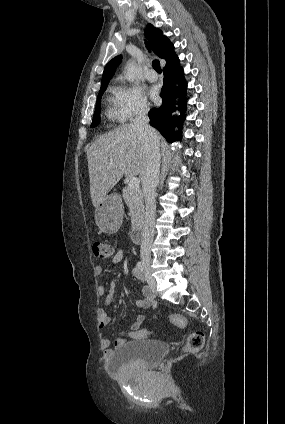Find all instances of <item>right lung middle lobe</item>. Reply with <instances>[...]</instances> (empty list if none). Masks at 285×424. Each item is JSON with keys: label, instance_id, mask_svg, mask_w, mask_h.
<instances>
[{"label": "right lung middle lobe", "instance_id": "dd1d6c3e", "mask_svg": "<svg viewBox=\"0 0 285 424\" xmlns=\"http://www.w3.org/2000/svg\"><path fill=\"white\" fill-rule=\"evenodd\" d=\"M105 89H106V86L100 88V92H99L98 97H97L96 108H95L91 127H95L96 125H98L100 123L101 97H102Z\"/></svg>", "mask_w": 285, "mask_h": 424}]
</instances>
